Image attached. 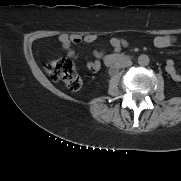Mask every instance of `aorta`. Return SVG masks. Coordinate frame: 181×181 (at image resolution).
I'll return each mask as SVG.
<instances>
[{"label": "aorta", "mask_w": 181, "mask_h": 181, "mask_svg": "<svg viewBox=\"0 0 181 181\" xmlns=\"http://www.w3.org/2000/svg\"><path fill=\"white\" fill-rule=\"evenodd\" d=\"M150 62V59L147 55L142 54L138 57V64L140 66H147Z\"/></svg>", "instance_id": "762f6f07"}]
</instances>
